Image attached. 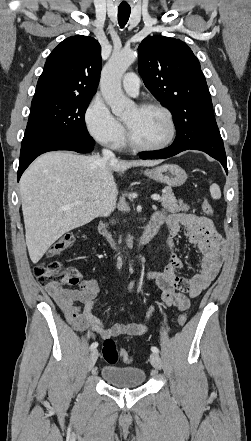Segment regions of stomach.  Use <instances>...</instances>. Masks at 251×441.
Listing matches in <instances>:
<instances>
[{"mask_svg": "<svg viewBox=\"0 0 251 441\" xmlns=\"http://www.w3.org/2000/svg\"><path fill=\"white\" fill-rule=\"evenodd\" d=\"M144 175L172 187L183 185L187 179L185 170L175 164H164L153 169H147L144 171Z\"/></svg>", "mask_w": 251, "mask_h": 441, "instance_id": "1", "label": "stomach"}]
</instances>
